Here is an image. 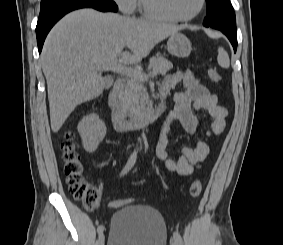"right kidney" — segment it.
Wrapping results in <instances>:
<instances>
[{"instance_id": "right-kidney-1", "label": "right kidney", "mask_w": 283, "mask_h": 245, "mask_svg": "<svg viewBox=\"0 0 283 245\" xmlns=\"http://www.w3.org/2000/svg\"><path fill=\"white\" fill-rule=\"evenodd\" d=\"M78 132L80 133L84 149L92 153L105 137L106 126L97 114H90L79 122Z\"/></svg>"}]
</instances>
